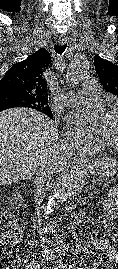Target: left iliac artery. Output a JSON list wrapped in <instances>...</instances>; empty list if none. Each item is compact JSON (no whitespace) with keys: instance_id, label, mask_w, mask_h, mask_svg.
I'll return each instance as SVG.
<instances>
[{"instance_id":"1","label":"left iliac artery","mask_w":118,"mask_h":269,"mask_svg":"<svg viewBox=\"0 0 118 269\" xmlns=\"http://www.w3.org/2000/svg\"><path fill=\"white\" fill-rule=\"evenodd\" d=\"M69 269H79L75 264H70Z\"/></svg>"}]
</instances>
